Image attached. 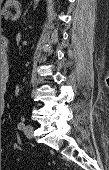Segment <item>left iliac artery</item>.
I'll return each mask as SVG.
<instances>
[{
	"mask_svg": "<svg viewBox=\"0 0 109 170\" xmlns=\"http://www.w3.org/2000/svg\"><path fill=\"white\" fill-rule=\"evenodd\" d=\"M24 127H25V124H24L23 122H20V123L18 124V129H19V130L24 129Z\"/></svg>",
	"mask_w": 109,
	"mask_h": 170,
	"instance_id": "obj_1",
	"label": "left iliac artery"
}]
</instances>
